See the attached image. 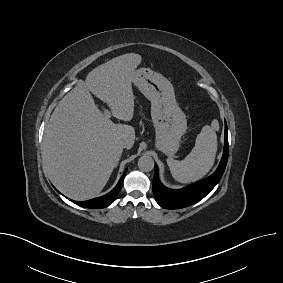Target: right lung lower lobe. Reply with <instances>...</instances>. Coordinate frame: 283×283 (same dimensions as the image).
Instances as JSON below:
<instances>
[{"instance_id":"98d812e1","label":"right lung lower lobe","mask_w":283,"mask_h":283,"mask_svg":"<svg viewBox=\"0 0 283 283\" xmlns=\"http://www.w3.org/2000/svg\"><path fill=\"white\" fill-rule=\"evenodd\" d=\"M126 171L127 170H125L124 174L120 178L116 187L112 191H110L108 194L98 197V198L87 200V201H81V202L73 201V200L71 201L85 208L101 209V208L109 206L110 204L114 202L115 198L117 197L118 193L120 192L123 186V180H124Z\"/></svg>"}]
</instances>
